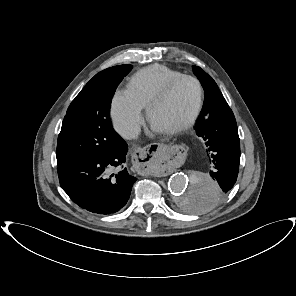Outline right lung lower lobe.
<instances>
[{
	"label": "right lung lower lobe",
	"mask_w": 296,
	"mask_h": 296,
	"mask_svg": "<svg viewBox=\"0 0 296 296\" xmlns=\"http://www.w3.org/2000/svg\"><path fill=\"white\" fill-rule=\"evenodd\" d=\"M127 151L124 141L118 151L58 166L61 187L83 209L102 215L118 212L129 200L137 180L124 168ZM115 169L118 172L112 173Z\"/></svg>",
	"instance_id": "obj_1"
}]
</instances>
